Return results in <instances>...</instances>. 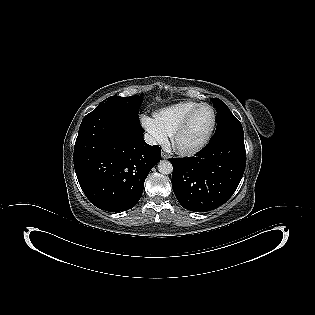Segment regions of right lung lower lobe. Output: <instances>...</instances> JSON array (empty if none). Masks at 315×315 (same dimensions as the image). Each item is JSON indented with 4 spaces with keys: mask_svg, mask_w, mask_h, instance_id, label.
Wrapping results in <instances>:
<instances>
[{
    "mask_svg": "<svg viewBox=\"0 0 315 315\" xmlns=\"http://www.w3.org/2000/svg\"><path fill=\"white\" fill-rule=\"evenodd\" d=\"M139 119L112 110H94L80 125L74 147L79 184L101 210L133 208L143 193L144 181L160 161L158 145H148Z\"/></svg>",
    "mask_w": 315,
    "mask_h": 315,
    "instance_id": "98d812e1",
    "label": "right lung lower lobe"
}]
</instances>
